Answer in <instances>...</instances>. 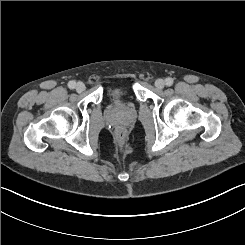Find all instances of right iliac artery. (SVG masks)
<instances>
[{
  "instance_id": "obj_1",
  "label": "right iliac artery",
  "mask_w": 245,
  "mask_h": 245,
  "mask_svg": "<svg viewBox=\"0 0 245 245\" xmlns=\"http://www.w3.org/2000/svg\"><path fill=\"white\" fill-rule=\"evenodd\" d=\"M75 86H76V82H75V81H69L68 87H69L70 89H74Z\"/></svg>"
}]
</instances>
